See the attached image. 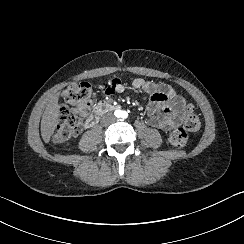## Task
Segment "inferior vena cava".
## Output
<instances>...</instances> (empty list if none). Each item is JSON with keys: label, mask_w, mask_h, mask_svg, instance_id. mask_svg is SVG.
I'll return each instance as SVG.
<instances>
[{"label": "inferior vena cava", "mask_w": 244, "mask_h": 244, "mask_svg": "<svg viewBox=\"0 0 244 244\" xmlns=\"http://www.w3.org/2000/svg\"><path fill=\"white\" fill-rule=\"evenodd\" d=\"M103 118H111L108 114L104 115ZM115 119V118H114ZM105 120V119H104Z\"/></svg>", "instance_id": "602c4592"}]
</instances>
